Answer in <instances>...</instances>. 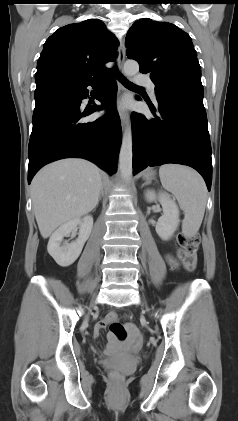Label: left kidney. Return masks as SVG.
Instances as JSON below:
<instances>
[{
	"label": "left kidney",
	"instance_id": "1",
	"mask_svg": "<svg viewBox=\"0 0 238 421\" xmlns=\"http://www.w3.org/2000/svg\"><path fill=\"white\" fill-rule=\"evenodd\" d=\"M145 198L148 202L158 200L162 205L163 215L158 219L155 229L162 240H169L177 230L180 222L179 209L176 203L166 194L159 193L157 195L153 190H147Z\"/></svg>",
	"mask_w": 238,
	"mask_h": 421
}]
</instances>
